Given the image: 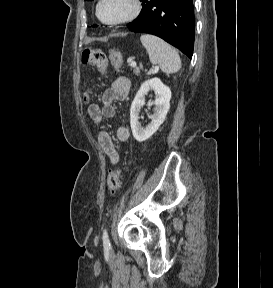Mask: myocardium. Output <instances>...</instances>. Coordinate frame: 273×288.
Listing matches in <instances>:
<instances>
[{
	"label": "myocardium",
	"instance_id": "obj_1",
	"mask_svg": "<svg viewBox=\"0 0 273 288\" xmlns=\"http://www.w3.org/2000/svg\"><path fill=\"white\" fill-rule=\"evenodd\" d=\"M105 0H99L97 5H96V16L99 19L100 22H102L105 25H109V26H116L119 24H124V23H128L133 21L134 19H136L141 11H142V2L141 0H130L131 4H132V8L131 11L126 14L125 16L116 19V20H112V21H106L104 19H102L101 15H100V8L102 6V4L104 3Z\"/></svg>",
	"mask_w": 273,
	"mask_h": 288
}]
</instances>
